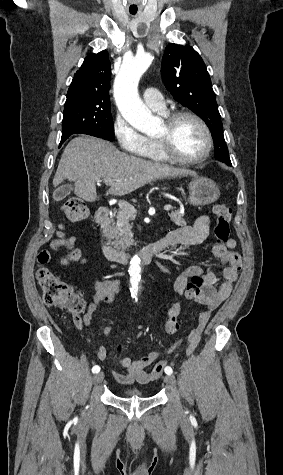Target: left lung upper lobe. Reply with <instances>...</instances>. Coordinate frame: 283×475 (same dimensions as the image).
<instances>
[{"label": "left lung upper lobe", "mask_w": 283, "mask_h": 475, "mask_svg": "<svg viewBox=\"0 0 283 475\" xmlns=\"http://www.w3.org/2000/svg\"><path fill=\"white\" fill-rule=\"evenodd\" d=\"M161 76L174 99L202 118L212 135L223 134L221 116L206 65L191 46L169 44L163 55Z\"/></svg>", "instance_id": "left-lung-upper-lobe-1"}]
</instances>
